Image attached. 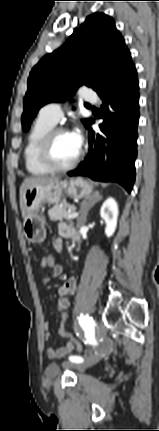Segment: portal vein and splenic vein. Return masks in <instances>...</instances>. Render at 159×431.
<instances>
[{
	"instance_id": "obj_1",
	"label": "portal vein and splenic vein",
	"mask_w": 159,
	"mask_h": 431,
	"mask_svg": "<svg viewBox=\"0 0 159 431\" xmlns=\"http://www.w3.org/2000/svg\"><path fill=\"white\" fill-rule=\"evenodd\" d=\"M68 213H69L67 216L68 219H74V218L78 217V212H75V211L71 212V210H69Z\"/></svg>"
}]
</instances>
